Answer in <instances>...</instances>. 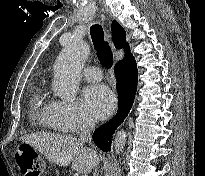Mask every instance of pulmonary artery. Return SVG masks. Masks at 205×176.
<instances>
[{
  "label": "pulmonary artery",
  "instance_id": "e3ab8cb5",
  "mask_svg": "<svg viewBox=\"0 0 205 176\" xmlns=\"http://www.w3.org/2000/svg\"><path fill=\"white\" fill-rule=\"evenodd\" d=\"M82 75L89 81H100L102 79V71L96 66L85 67Z\"/></svg>",
  "mask_w": 205,
  "mask_h": 176
}]
</instances>
